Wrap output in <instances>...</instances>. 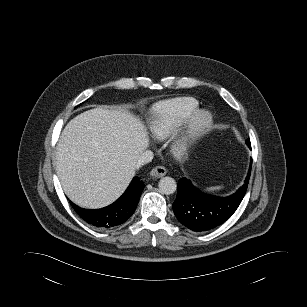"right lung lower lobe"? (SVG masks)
<instances>
[{
	"instance_id": "right-lung-lower-lobe-1",
	"label": "right lung lower lobe",
	"mask_w": 307,
	"mask_h": 307,
	"mask_svg": "<svg viewBox=\"0 0 307 307\" xmlns=\"http://www.w3.org/2000/svg\"><path fill=\"white\" fill-rule=\"evenodd\" d=\"M144 183L138 177L133 178L124 194L113 204L96 210L83 209L72 204L77 214L87 223L98 228H111L124 223L134 213Z\"/></svg>"
}]
</instances>
